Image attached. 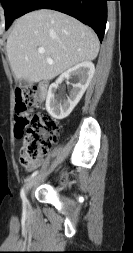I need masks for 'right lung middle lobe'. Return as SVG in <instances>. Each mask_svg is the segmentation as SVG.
I'll return each mask as SVG.
<instances>
[{"label": "right lung middle lobe", "instance_id": "right-lung-middle-lobe-1", "mask_svg": "<svg viewBox=\"0 0 133 253\" xmlns=\"http://www.w3.org/2000/svg\"><path fill=\"white\" fill-rule=\"evenodd\" d=\"M5 11L6 29L9 28L13 20L16 18L21 4L24 0H0Z\"/></svg>", "mask_w": 133, "mask_h": 253}]
</instances>
